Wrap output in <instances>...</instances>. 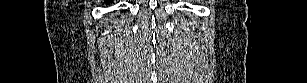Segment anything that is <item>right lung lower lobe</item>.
Segmentation results:
<instances>
[{
  "mask_svg": "<svg viewBox=\"0 0 307 83\" xmlns=\"http://www.w3.org/2000/svg\"><path fill=\"white\" fill-rule=\"evenodd\" d=\"M111 2H112V1H110V3H111ZM110 3H109V1H106V4H110Z\"/></svg>",
  "mask_w": 307,
  "mask_h": 83,
  "instance_id": "98d812e1",
  "label": "right lung lower lobe"
}]
</instances>
